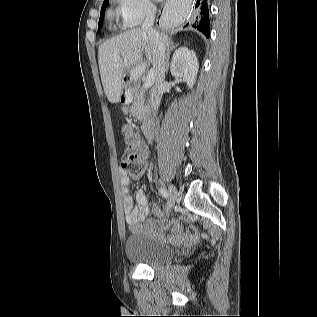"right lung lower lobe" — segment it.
<instances>
[{
	"label": "right lung lower lobe",
	"mask_w": 317,
	"mask_h": 317,
	"mask_svg": "<svg viewBox=\"0 0 317 317\" xmlns=\"http://www.w3.org/2000/svg\"><path fill=\"white\" fill-rule=\"evenodd\" d=\"M195 11L191 26L201 31L206 37L210 34L209 8L207 0H194Z\"/></svg>",
	"instance_id": "98d812e1"
}]
</instances>
